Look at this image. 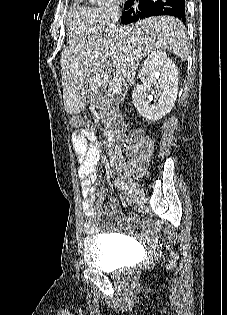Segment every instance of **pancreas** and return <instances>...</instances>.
Here are the masks:
<instances>
[{"instance_id": "obj_1", "label": "pancreas", "mask_w": 227, "mask_h": 315, "mask_svg": "<svg viewBox=\"0 0 227 315\" xmlns=\"http://www.w3.org/2000/svg\"><path fill=\"white\" fill-rule=\"evenodd\" d=\"M91 90L97 96V108L100 109V118L107 129L110 128L113 122V94L109 92H100L98 84H93V79L90 82Z\"/></svg>"}]
</instances>
